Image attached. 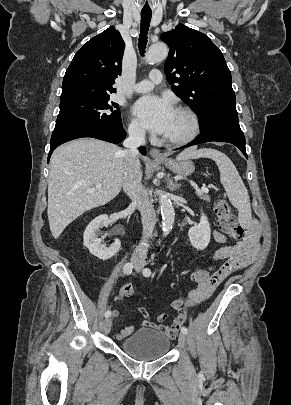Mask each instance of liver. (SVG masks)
Listing matches in <instances>:
<instances>
[{
  "label": "liver",
  "mask_w": 291,
  "mask_h": 405,
  "mask_svg": "<svg viewBox=\"0 0 291 405\" xmlns=\"http://www.w3.org/2000/svg\"><path fill=\"white\" fill-rule=\"evenodd\" d=\"M122 176V150L114 144L81 138L58 147L51 156L48 179L52 236L58 238L84 212L114 199L121 191Z\"/></svg>",
  "instance_id": "liver-1"
}]
</instances>
